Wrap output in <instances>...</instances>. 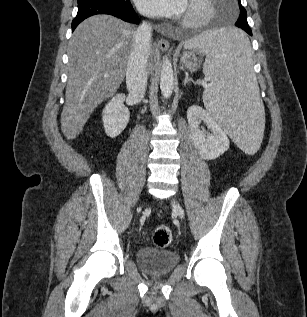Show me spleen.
<instances>
[{
  "label": "spleen",
  "mask_w": 307,
  "mask_h": 317,
  "mask_svg": "<svg viewBox=\"0 0 307 317\" xmlns=\"http://www.w3.org/2000/svg\"><path fill=\"white\" fill-rule=\"evenodd\" d=\"M184 48L206 55L203 71L210 88L204 90L203 102L209 114L228 131L241 155H259L264 109L246 29H209Z\"/></svg>",
  "instance_id": "1"
}]
</instances>
